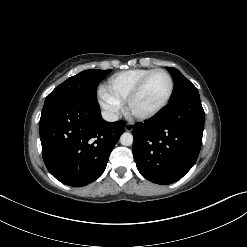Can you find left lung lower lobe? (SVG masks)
I'll return each mask as SVG.
<instances>
[{"label":"left lung lower lobe","mask_w":247,"mask_h":247,"mask_svg":"<svg viewBox=\"0 0 247 247\" xmlns=\"http://www.w3.org/2000/svg\"><path fill=\"white\" fill-rule=\"evenodd\" d=\"M200 98L169 104L157 117L133 128V156L140 174L157 184L181 179L196 162L204 129Z\"/></svg>","instance_id":"1"}]
</instances>
